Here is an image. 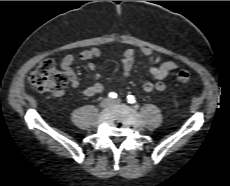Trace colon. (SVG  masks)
Returning <instances> with one entry per match:
<instances>
[{
	"label": "colon",
	"mask_w": 230,
	"mask_h": 186,
	"mask_svg": "<svg viewBox=\"0 0 230 186\" xmlns=\"http://www.w3.org/2000/svg\"><path fill=\"white\" fill-rule=\"evenodd\" d=\"M191 77V73L185 70H180L175 74V79L181 83L189 82ZM28 81L33 89L54 95L61 93L67 85V77L57 69L55 62L50 59L38 63L30 73Z\"/></svg>",
	"instance_id": "colon-1"
}]
</instances>
